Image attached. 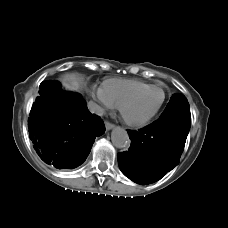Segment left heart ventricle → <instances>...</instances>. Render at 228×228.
<instances>
[{"label": "left heart ventricle", "instance_id": "obj_1", "mask_svg": "<svg viewBox=\"0 0 228 228\" xmlns=\"http://www.w3.org/2000/svg\"><path fill=\"white\" fill-rule=\"evenodd\" d=\"M162 99L158 89L149 90L128 103L124 109L126 116L133 120L141 119L155 110Z\"/></svg>", "mask_w": 228, "mask_h": 228}]
</instances>
